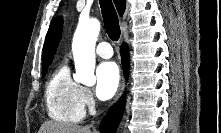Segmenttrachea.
I'll return each instance as SVG.
<instances>
[{
	"mask_svg": "<svg viewBox=\"0 0 221 133\" xmlns=\"http://www.w3.org/2000/svg\"><path fill=\"white\" fill-rule=\"evenodd\" d=\"M105 29L109 38L118 41L120 38L119 20L111 0H100Z\"/></svg>",
	"mask_w": 221,
	"mask_h": 133,
	"instance_id": "3493384b",
	"label": "trachea"
}]
</instances>
